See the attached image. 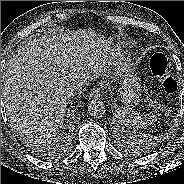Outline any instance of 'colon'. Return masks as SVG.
<instances>
[{
  "mask_svg": "<svg viewBox=\"0 0 184 184\" xmlns=\"http://www.w3.org/2000/svg\"><path fill=\"white\" fill-rule=\"evenodd\" d=\"M150 68L155 76L164 81L167 91L175 90L174 82L168 77V60L163 54H155L150 60Z\"/></svg>",
  "mask_w": 184,
  "mask_h": 184,
  "instance_id": "colon-1",
  "label": "colon"
}]
</instances>
